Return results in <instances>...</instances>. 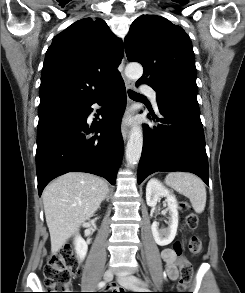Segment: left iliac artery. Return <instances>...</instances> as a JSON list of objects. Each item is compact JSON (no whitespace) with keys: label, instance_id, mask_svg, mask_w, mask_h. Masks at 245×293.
Instances as JSON below:
<instances>
[{"label":"left iliac artery","instance_id":"left-iliac-artery-1","mask_svg":"<svg viewBox=\"0 0 245 293\" xmlns=\"http://www.w3.org/2000/svg\"><path fill=\"white\" fill-rule=\"evenodd\" d=\"M144 286H145V284H143V287H142V288H137V287L135 288V287H134L133 289H134V290H142V289L145 288Z\"/></svg>","mask_w":245,"mask_h":293}]
</instances>
